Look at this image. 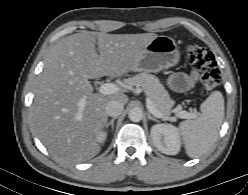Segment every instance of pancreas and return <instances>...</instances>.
I'll return each instance as SVG.
<instances>
[{"label": "pancreas", "mask_w": 248, "mask_h": 195, "mask_svg": "<svg viewBox=\"0 0 248 195\" xmlns=\"http://www.w3.org/2000/svg\"><path fill=\"white\" fill-rule=\"evenodd\" d=\"M128 86L141 87L153 102L154 107L164 116H169L174 106V100L169 96L168 91L160 83L159 79L148 73H141L125 80Z\"/></svg>", "instance_id": "obj_1"}]
</instances>
